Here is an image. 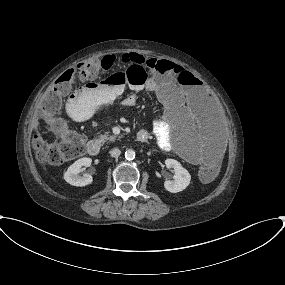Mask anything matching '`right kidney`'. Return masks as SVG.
I'll list each match as a JSON object with an SVG mask.
<instances>
[{"instance_id":"ca27d5eb","label":"right kidney","mask_w":285,"mask_h":285,"mask_svg":"<svg viewBox=\"0 0 285 285\" xmlns=\"http://www.w3.org/2000/svg\"><path fill=\"white\" fill-rule=\"evenodd\" d=\"M91 163L92 159L88 157H83L76 160L72 165L68 167L67 171L65 172V181L73 186L78 187H83L91 184L93 182V177L90 174L85 173L82 176L78 175L81 172V168L83 166L89 167Z\"/></svg>"}]
</instances>
